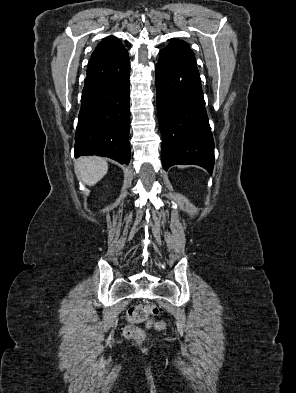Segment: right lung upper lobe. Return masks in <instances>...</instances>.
Here are the masks:
<instances>
[{"instance_id":"1","label":"right lung upper lobe","mask_w":296,"mask_h":393,"mask_svg":"<svg viewBox=\"0 0 296 393\" xmlns=\"http://www.w3.org/2000/svg\"><path fill=\"white\" fill-rule=\"evenodd\" d=\"M118 47H123L122 43L120 40H118L115 37H107L103 39L96 47L95 51H99L105 48H118ZM94 51V52H95Z\"/></svg>"}]
</instances>
